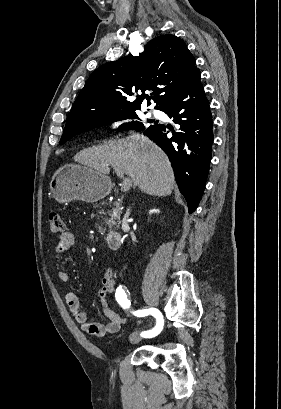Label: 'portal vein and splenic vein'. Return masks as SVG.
<instances>
[{"label":"portal vein and splenic vein","instance_id":"18ae733b","mask_svg":"<svg viewBox=\"0 0 281 409\" xmlns=\"http://www.w3.org/2000/svg\"><path fill=\"white\" fill-rule=\"evenodd\" d=\"M117 170V176H120V178H123V182H122V190H129L130 188L133 187V182L131 180V178H126V176H124V172L123 170H120V168H116Z\"/></svg>","mask_w":281,"mask_h":409}]
</instances>
